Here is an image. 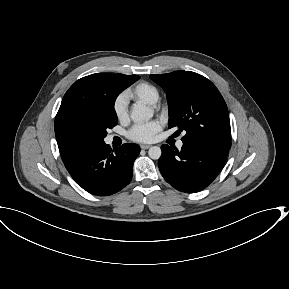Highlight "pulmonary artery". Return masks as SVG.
I'll return each mask as SVG.
<instances>
[{
  "label": "pulmonary artery",
  "instance_id": "e3ab8cb5",
  "mask_svg": "<svg viewBox=\"0 0 289 289\" xmlns=\"http://www.w3.org/2000/svg\"><path fill=\"white\" fill-rule=\"evenodd\" d=\"M182 146H183V142H182L181 140H179V141L177 142V147H178V148H182Z\"/></svg>",
  "mask_w": 289,
  "mask_h": 289
}]
</instances>
